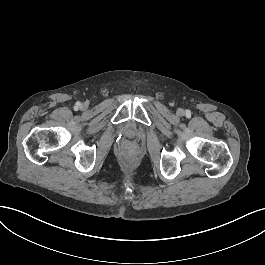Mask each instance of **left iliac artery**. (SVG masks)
I'll return each mask as SVG.
<instances>
[{
  "label": "left iliac artery",
  "mask_w": 265,
  "mask_h": 265,
  "mask_svg": "<svg viewBox=\"0 0 265 265\" xmlns=\"http://www.w3.org/2000/svg\"><path fill=\"white\" fill-rule=\"evenodd\" d=\"M186 115L189 117V116H191V112H190V110H187L186 111Z\"/></svg>",
  "instance_id": "obj_1"
}]
</instances>
